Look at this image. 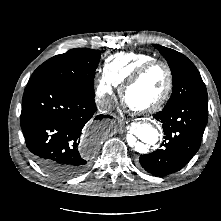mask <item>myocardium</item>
<instances>
[{"mask_svg": "<svg viewBox=\"0 0 221 221\" xmlns=\"http://www.w3.org/2000/svg\"><path fill=\"white\" fill-rule=\"evenodd\" d=\"M155 66H161L164 68L167 74V85L164 93L161 95L159 99H157L154 103L144 108H137L131 106L126 99V93L128 89L137 83L150 69ZM174 87V76L171 67L163 60L153 59L145 62L140 67H138L129 77L128 79L121 85L120 87V98L123 106L128 109L130 112L137 115H146L157 112L160 110L166 102L169 100Z\"/></svg>", "mask_w": 221, "mask_h": 221, "instance_id": "f54148a6", "label": "myocardium"}]
</instances>
